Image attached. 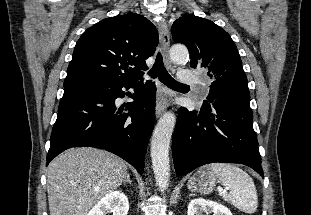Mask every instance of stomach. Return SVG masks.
<instances>
[{
  "label": "stomach",
  "instance_id": "0dacf381",
  "mask_svg": "<svg viewBox=\"0 0 311 215\" xmlns=\"http://www.w3.org/2000/svg\"><path fill=\"white\" fill-rule=\"evenodd\" d=\"M216 182L217 178L207 170L206 166L190 177L187 186L192 192L209 194L214 190Z\"/></svg>",
  "mask_w": 311,
  "mask_h": 215
}]
</instances>
